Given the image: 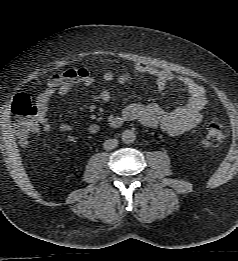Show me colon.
<instances>
[{
    "mask_svg": "<svg viewBox=\"0 0 238 261\" xmlns=\"http://www.w3.org/2000/svg\"><path fill=\"white\" fill-rule=\"evenodd\" d=\"M78 73H80V69H68L61 75L74 76ZM12 112L15 118L14 129L16 135L22 144H26L29 136L39 129L37 107L27 95L20 94L13 101ZM225 136L226 126L217 118H213L206 127L203 144L206 147L218 146L223 142Z\"/></svg>",
    "mask_w": 238,
    "mask_h": 261,
    "instance_id": "1",
    "label": "colon"
}]
</instances>
